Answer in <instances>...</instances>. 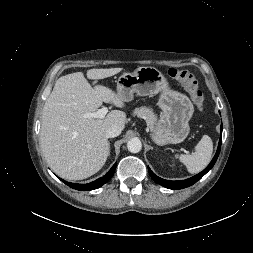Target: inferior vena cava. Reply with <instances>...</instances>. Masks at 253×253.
<instances>
[{
  "label": "inferior vena cava",
  "mask_w": 253,
  "mask_h": 253,
  "mask_svg": "<svg viewBox=\"0 0 253 253\" xmlns=\"http://www.w3.org/2000/svg\"><path fill=\"white\" fill-rule=\"evenodd\" d=\"M121 127L118 125H112L106 130L107 138H113L121 134Z\"/></svg>",
  "instance_id": "1"
}]
</instances>
